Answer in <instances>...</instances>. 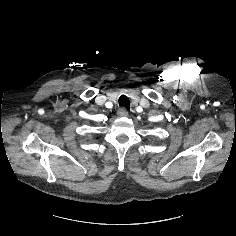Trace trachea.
Instances as JSON below:
<instances>
[{
  "mask_svg": "<svg viewBox=\"0 0 236 236\" xmlns=\"http://www.w3.org/2000/svg\"><path fill=\"white\" fill-rule=\"evenodd\" d=\"M119 106L125 107L126 109H130V100H129V98L125 95L120 96Z\"/></svg>",
  "mask_w": 236,
  "mask_h": 236,
  "instance_id": "3493384b",
  "label": "trachea"
}]
</instances>
